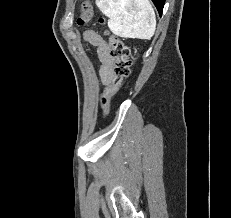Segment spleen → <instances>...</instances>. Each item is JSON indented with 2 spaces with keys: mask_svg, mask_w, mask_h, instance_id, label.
<instances>
[{
  "mask_svg": "<svg viewBox=\"0 0 231 218\" xmlns=\"http://www.w3.org/2000/svg\"><path fill=\"white\" fill-rule=\"evenodd\" d=\"M109 18L108 27L124 38L150 39L156 30V16L149 0H96Z\"/></svg>",
  "mask_w": 231,
  "mask_h": 218,
  "instance_id": "spleen-1",
  "label": "spleen"
}]
</instances>
